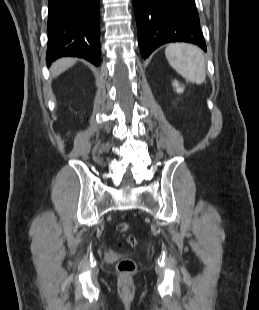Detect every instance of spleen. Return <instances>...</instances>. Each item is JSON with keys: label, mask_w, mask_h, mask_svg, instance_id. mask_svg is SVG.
<instances>
[{"label": "spleen", "mask_w": 259, "mask_h": 310, "mask_svg": "<svg viewBox=\"0 0 259 310\" xmlns=\"http://www.w3.org/2000/svg\"><path fill=\"white\" fill-rule=\"evenodd\" d=\"M171 67L187 81L202 84L206 79V63L201 49L188 43H172L165 49Z\"/></svg>", "instance_id": "obj_1"}]
</instances>
